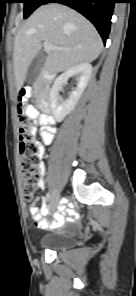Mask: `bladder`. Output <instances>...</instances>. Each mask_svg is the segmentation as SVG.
<instances>
[{
  "label": "bladder",
  "instance_id": "obj_1",
  "mask_svg": "<svg viewBox=\"0 0 136 296\" xmlns=\"http://www.w3.org/2000/svg\"><path fill=\"white\" fill-rule=\"evenodd\" d=\"M75 241L74 234H61L48 236L41 244L43 249H61L71 246Z\"/></svg>",
  "mask_w": 136,
  "mask_h": 296
}]
</instances>
